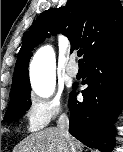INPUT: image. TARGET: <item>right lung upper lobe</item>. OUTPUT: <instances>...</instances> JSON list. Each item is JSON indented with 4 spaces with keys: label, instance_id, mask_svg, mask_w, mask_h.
Masks as SVG:
<instances>
[{
    "label": "right lung upper lobe",
    "instance_id": "cb5924a9",
    "mask_svg": "<svg viewBox=\"0 0 123 152\" xmlns=\"http://www.w3.org/2000/svg\"><path fill=\"white\" fill-rule=\"evenodd\" d=\"M58 32L69 38L72 48H84L86 61L123 35V7L119 0H68L65 7L43 12L28 31L19 51L11 94L30 85L27 68L33 48Z\"/></svg>",
    "mask_w": 123,
    "mask_h": 152
}]
</instances>
